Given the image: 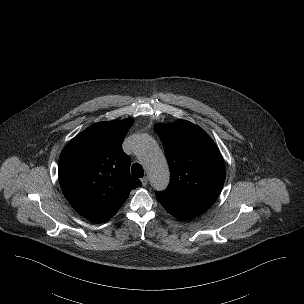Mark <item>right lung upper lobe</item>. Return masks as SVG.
Returning <instances> with one entry per match:
<instances>
[{"label":"right lung upper lobe","instance_id":"1","mask_svg":"<svg viewBox=\"0 0 304 304\" xmlns=\"http://www.w3.org/2000/svg\"><path fill=\"white\" fill-rule=\"evenodd\" d=\"M133 123L129 118L91 125L60 154L58 175L64 196L88 220H109L130 191L141 186L139 179L130 175V158L122 150Z\"/></svg>","mask_w":304,"mask_h":304}]
</instances>
